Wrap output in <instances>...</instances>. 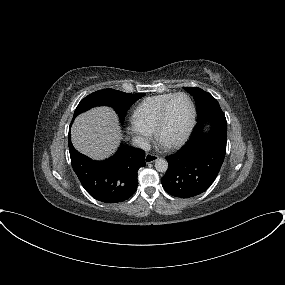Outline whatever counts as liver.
<instances>
[{"label":"liver","instance_id":"1","mask_svg":"<svg viewBox=\"0 0 285 285\" xmlns=\"http://www.w3.org/2000/svg\"><path fill=\"white\" fill-rule=\"evenodd\" d=\"M74 147L96 160L108 158L116 150L120 139V126L114 111L97 107L79 115L71 129Z\"/></svg>","mask_w":285,"mask_h":285}]
</instances>
